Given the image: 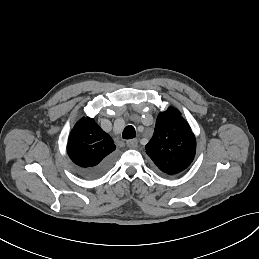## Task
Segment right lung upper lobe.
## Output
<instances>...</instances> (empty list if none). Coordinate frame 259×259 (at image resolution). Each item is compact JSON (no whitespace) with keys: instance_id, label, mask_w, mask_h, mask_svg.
I'll list each match as a JSON object with an SVG mask.
<instances>
[{"instance_id":"cb5924a9","label":"right lung upper lobe","mask_w":259,"mask_h":259,"mask_svg":"<svg viewBox=\"0 0 259 259\" xmlns=\"http://www.w3.org/2000/svg\"><path fill=\"white\" fill-rule=\"evenodd\" d=\"M112 138L89 117H83L73 127L67 153L80 167H93L102 162L115 150Z\"/></svg>"}]
</instances>
